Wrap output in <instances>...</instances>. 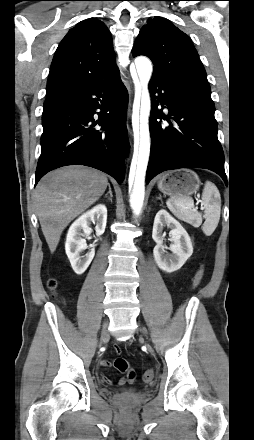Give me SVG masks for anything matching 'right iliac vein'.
<instances>
[{
    "label": "right iliac vein",
    "instance_id": "63e3f726",
    "mask_svg": "<svg viewBox=\"0 0 254 440\" xmlns=\"http://www.w3.org/2000/svg\"><path fill=\"white\" fill-rule=\"evenodd\" d=\"M108 340H109L108 322H105L101 333V344L107 342Z\"/></svg>",
    "mask_w": 254,
    "mask_h": 440
}]
</instances>
